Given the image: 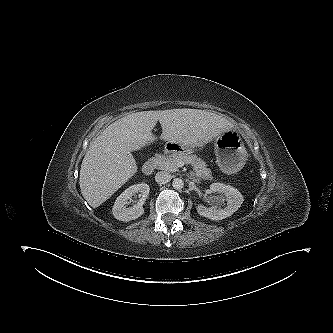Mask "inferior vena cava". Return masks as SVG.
<instances>
[{"instance_id":"1","label":"inferior vena cava","mask_w":333,"mask_h":333,"mask_svg":"<svg viewBox=\"0 0 333 333\" xmlns=\"http://www.w3.org/2000/svg\"><path fill=\"white\" fill-rule=\"evenodd\" d=\"M172 179V176L170 173L165 171L157 172L155 175V181L158 184H166Z\"/></svg>"}]
</instances>
